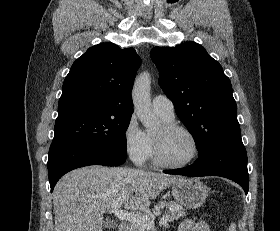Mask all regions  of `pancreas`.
<instances>
[{"instance_id":"pancreas-1","label":"pancreas","mask_w":280,"mask_h":231,"mask_svg":"<svg viewBox=\"0 0 280 231\" xmlns=\"http://www.w3.org/2000/svg\"><path fill=\"white\" fill-rule=\"evenodd\" d=\"M163 207H171L170 211H168L171 219H178V217H184L185 215L184 207H182L180 203H176V201H158L151 211L150 209H148V211H143V215H147V217L151 219L152 215L161 213L160 209H163ZM128 231H145V229L142 225H139V223H130Z\"/></svg>"}]
</instances>
